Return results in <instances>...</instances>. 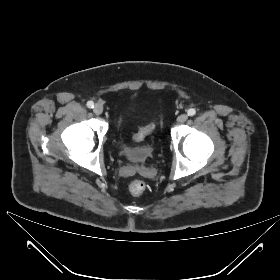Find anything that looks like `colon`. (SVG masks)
<instances>
[{
    "label": "colon",
    "instance_id": "1",
    "mask_svg": "<svg viewBox=\"0 0 280 280\" xmlns=\"http://www.w3.org/2000/svg\"><path fill=\"white\" fill-rule=\"evenodd\" d=\"M152 131V126H145L140 128L134 135V139L136 141H140L142 140L144 137H146L148 134H150V132ZM129 191L132 195L134 196H140L144 193V191L146 190V184L144 181L142 180H132L129 183Z\"/></svg>",
    "mask_w": 280,
    "mask_h": 280
}]
</instances>
